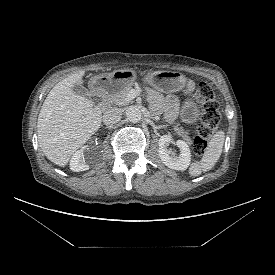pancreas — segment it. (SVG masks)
Here are the masks:
<instances>
[{
  "label": "pancreas",
  "instance_id": "pancreas-1",
  "mask_svg": "<svg viewBox=\"0 0 275 275\" xmlns=\"http://www.w3.org/2000/svg\"><path fill=\"white\" fill-rule=\"evenodd\" d=\"M131 90H132V87L127 86L117 91L116 93L111 94L108 98L109 103L118 105V106H123L127 104L130 101V99L128 98V95ZM174 131L176 132V134L181 136L182 139L185 140L188 144L192 143V140L188 136V133L182 127H178V125H176L174 126Z\"/></svg>",
  "mask_w": 275,
  "mask_h": 275
}]
</instances>
